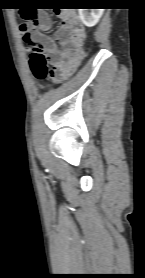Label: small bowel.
Segmentation results:
<instances>
[{"mask_svg":"<svg viewBox=\"0 0 145 278\" xmlns=\"http://www.w3.org/2000/svg\"><path fill=\"white\" fill-rule=\"evenodd\" d=\"M57 14L62 23L53 38L45 34L52 26L51 19L45 12L21 24L20 30L33 36L51 65V76L61 79L73 72L82 62L85 31L74 12Z\"/></svg>","mask_w":145,"mask_h":278,"instance_id":"small-bowel-1","label":"small bowel"}]
</instances>
